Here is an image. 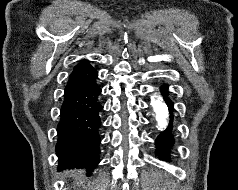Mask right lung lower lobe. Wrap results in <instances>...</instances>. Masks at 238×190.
<instances>
[{
    "label": "right lung lower lobe",
    "instance_id": "right-lung-lower-lobe-1",
    "mask_svg": "<svg viewBox=\"0 0 238 190\" xmlns=\"http://www.w3.org/2000/svg\"><path fill=\"white\" fill-rule=\"evenodd\" d=\"M98 73L85 60L70 74L57 127L58 169L86 168L93 171L99 163V102L101 89Z\"/></svg>",
    "mask_w": 238,
    "mask_h": 190
}]
</instances>
